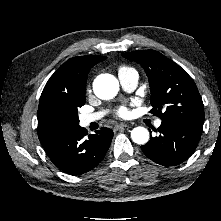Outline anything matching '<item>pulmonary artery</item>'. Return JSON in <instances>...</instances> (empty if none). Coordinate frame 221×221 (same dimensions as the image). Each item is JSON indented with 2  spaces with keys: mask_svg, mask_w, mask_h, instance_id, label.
<instances>
[{
  "mask_svg": "<svg viewBox=\"0 0 221 221\" xmlns=\"http://www.w3.org/2000/svg\"><path fill=\"white\" fill-rule=\"evenodd\" d=\"M118 78L122 88L127 92H132L138 84L139 75L134 69H120L118 73ZM105 112L100 111L92 114H86L81 117V124L87 126L92 122L99 120L103 117ZM162 121L157 119L155 121V126L159 127Z\"/></svg>",
  "mask_w": 221,
  "mask_h": 221,
  "instance_id": "e3ab8cb5",
  "label": "pulmonary artery"
}]
</instances>
